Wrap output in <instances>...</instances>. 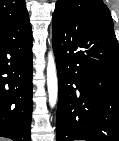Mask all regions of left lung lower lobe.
I'll use <instances>...</instances> for the list:
<instances>
[{
  "label": "left lung lower lobe",
  "instance_id": "obj_1",
  "mask_svg": "<svg viewBox=\"0 0 119 141\" xmlns=\"http://www.w3.org/2000/svg\"><path fill=\"white\" fill-rule=\"evenodd\" d=\"M59 82L57 141H119V45L114 28L53 14Z\"/></svg>",
  "mask_w": 119,
  "mask_h": 141
}]
</instances>
